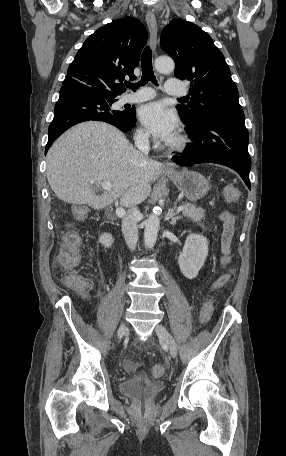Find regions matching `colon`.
<instances>
[{
  "mask_svg": "<svg viewBox=\"0 0 286 456\" xmlns=\"http://www.w3.org/2000/svg\"><path fill=\"white\" fill-rule=\"evenodd\" d=\"M223 193L229 201H235L238 198V190L234 186H224ZM80 258L78 235L74 231L68 230L65 243L57 256V264L63 271L61 280L67 287L73 290L86 291L91 287V281L73 271L78 266ZM212 312L213 302L207 300L201 308L199 321L201 323H206L210 319ZM125 366L130 371L136 369L135 363L130 360L125 362ZM163 375L164 367L160 364H155L152 367V376L154 378H160Z\"/></svg>",
  "mask_w": 286,
  "mask_h": 456,
  "instance_id": "colon-1",
  "label": "colon"
}]
</instances>
